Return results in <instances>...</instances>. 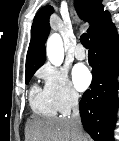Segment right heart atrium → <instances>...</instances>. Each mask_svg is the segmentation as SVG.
<instances>
[{"mask_svg": "<svg viewBox=\"0 0 119 141\" xmlns=\"http://www.w3.org/2000/svg\"><path fill=\"white\" fill-rule=\"evenodd\" d=\"M38 76L44 80V90L57 111L66 113L79 102V95L65 72L50 65L42 67Z\"/></svg>", "mask_w": 119, "mask_h": 141, "instance_id": "obj_1", "label": "right heart atrium"}]
</instances>
